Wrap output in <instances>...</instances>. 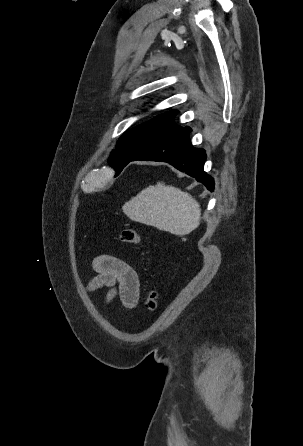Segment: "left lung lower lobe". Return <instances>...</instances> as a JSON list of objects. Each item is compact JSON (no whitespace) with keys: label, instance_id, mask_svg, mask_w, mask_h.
<instances>
[{"label":"left lung lower lobe","instance_id":"0a47b994","mask_svg":"<svg viewBox=\"0 0 303 446\" xmlns=\"http://www.w3.org/2000/svg\"><path fill=\"white\" fill-rule=\"evenodd\" d=\"M189 127H181L174 134L165 137L147 147L135 156L127 158L117 169H122L131 161L150 160L163 161L173 165L176 169L195 177L197 181L204 184L208 190H214V180L203 171L206 153L203 149L194 148L190 142Z\"/></svg>","mask_w":303,"mask_h":446}]
</instances>
